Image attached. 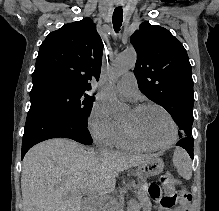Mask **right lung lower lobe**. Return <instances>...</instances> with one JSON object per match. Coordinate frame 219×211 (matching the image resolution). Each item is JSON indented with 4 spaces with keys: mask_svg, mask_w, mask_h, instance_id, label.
<instances>
[{
    "mask_svg": "<svg viewBox=\"0 0 219 211\" xmlns=\"http://www.w3.org/2000/svg\"><path fill=\"white\" fill-rule=\"evenodd\" d=\"M70 138L90 145L93 140L87 124L48 104H33L27 115L22 142V157L35 144L51 138Z\"/></svg>",
    "mask_w": 219,
    "mask_h": 211,
    "instance_id": "98d812e1",
    "label": "right lung lower lobe"
}]
</instances>
